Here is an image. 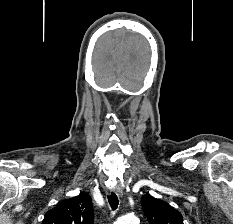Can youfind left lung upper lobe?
I'll list each match as a JSON object with an SVG mask.
<instances>
[{"label": "left lung upper lobe", "mask_w": 233, "mask_h": 224, "mask_svg": "<svg viewBox=\"0 0 233 224\" xmlns=\"http://www.w3.org/2000/svg\"><path fill=\"white\" fill-rule=\"evenodd\" d=\"M141 203L150 224H183L181 213L168 203L150 195L143 196Z\"/></svg>", "instance_id": "left-lung-upper-lobe-1"}]
</instances>
